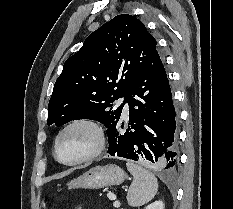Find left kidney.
I'll use <instances>...</instances> for the list:
<instances>
[{"instance_id": "5707ae66", "label": "left kidney", "mask_w": 233, "mask_h": 209, "mask_svg": "<svg viewBox=\"0 0 233 209\" xmlns=\"http://www.w3.org/2000/svg\"><path fill=\"white\" fill-rule=\"evenodd\" d=\"M145 209H164V203L162 201H155L149 204Z\"/></svg>"}]
</instances>
